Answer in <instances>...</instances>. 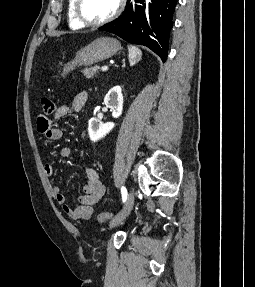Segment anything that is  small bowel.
Returning <instances> with one entry per match:
<instances>
[{
	"mask_svg": "<svg viewBox=\"0 0 255 287\" xmlns=\"http://www.w3.org/2000/svg\"><path fill=\"white\" fill-rule=\"evenodd\" d=\"M87 101L85 92L78 93L69 105H62L57 108L52 119L41 115L37 119L38 131L43 134L47 140L55 142L62 138V130L54 123L65 117L67 114L80 110ZM71 148L63 147L59 150V157L68 158L71 156ZM45 172L48 176L55 173L53 164H46ZM86 181L83 185V194L78 197V205L75 207L67 203V196L59 185H54L52 193L55 201L61 206L62 212L74 221H82L91 218L94 207L100 201L105 193V187L100 180L97 170L91 167L85 169Z\"/></svg>",
	"mask_w": 255,
	"mask_h": 287,
	"instance_id": "1",
	"label": "small bowel"
}]
</instances>
